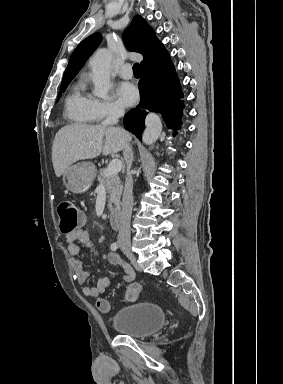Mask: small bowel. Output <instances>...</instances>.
Returning <instances> with one entry per match:
<instances>
[{
  "label": "small bowel",
  "mask_w": 283,
  "mask_h": 384,
  "mask_svg": "<svg viewBox=\"0 0 283 384\" xmlns=\"http://www.w3.org/2000/svg\"><path fill=\"white\" fill-rule=\"evenodd\" d=\"M67 250L73 262L74 275L77 282L83 285L82 292L86 297L97 298L101 296L107 288L111 285L109 278H100L94 286L87 285L90 277V272L84 267L80 260V254L82 246L90 248L95 255L97 251L94 248L93 243L90 240V236L87 230L83 227L68 233L66 235ZM107 260L112 265L121 266L124 270V280L126 282H133L135 273L133 268L126 262H124L116 253L110 252L107 255ZM138 284V283H132ZM140 286V284H138ZM141 287V286H140Z\"/></svg>",
  "instance_id": "c3829d8e"
}]
</instances>
